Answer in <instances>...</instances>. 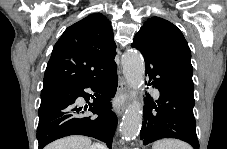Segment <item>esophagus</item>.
<instances>
[{
	"label": "esophagus",
	"instance_id": "1",
	"mask_svg": "<svg viewBox=\"0 0 227 149\" xmlns=\"http://www.w3.org/2000/svg\"><path fill=\"white\" fill-rule=\"evenodd\" d=\"M117 93L119 96H123L128 93V86L126 84V81L121 76L119 77V80H118ZM126 107H127V101L124 100L117 106V109H116L117 114L121 116L124 113Z\"/></svg>",
	"mask_w": 227,
	"mask_h": 149
}]
</instances>
